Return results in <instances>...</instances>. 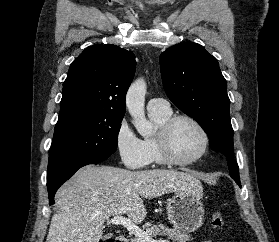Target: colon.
<instances>
[{
    "instance_id": "colon-1",
    "label": "colon",
    "mask_w": 279,
    "mask_h": 242,
    "mask_svg": "<svg viewBox=\"0 0 279 242\" xmlns=\"http://www.w3.org/2000/svg\"><path fill=\"white\" fill-rule=\"evenodd\" d=\"M211 224L214 228L220 229L224 226L223 215L219 211H215L211 217Z\"/></svg>"
}]
</instances>
